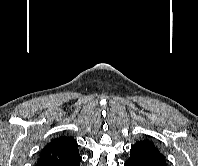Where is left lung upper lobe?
<instances>
[{
	"label": "left lung upper lobe",
	"instance_id": "obj_1",
	"mask_svg": "<svg viewBox=\"0 0 198 166\" xmlns=\"http://www.w3.org/2000/svg\"><path fill=\"white\" fill-rule=\"evenodd\" d=\"M130 157L151 165L167 166V160L155 143L148 139L137 141L130 149Z\"/></svg>",
	"mask_w": 198,
	"mask_h": 166
}]
</instances>
